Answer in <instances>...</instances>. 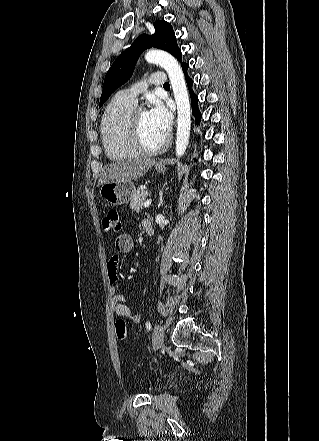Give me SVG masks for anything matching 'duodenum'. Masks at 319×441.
Here are the masks:
<instances>
[{
  "instance_id": "410a0bca",
  "label": "duodenum",
  "mask_w": 319,
  "mask_h": 441,
  "mask_svg": "<svg viewBox=\"0 0 319 441\" xmlns=\"http://www.w3.org/2000/svg\"><path fill=\"white\" fill-rule=\"evenodd\" d=\"M144 228H145V231H146L147 235H149V236L153 235V233H154V226H153V224L150 221L146 222L144 224Z\"/></svg>"
}]
</instances>
